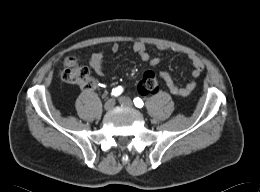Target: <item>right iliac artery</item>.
<instances>
[{"mask_svg":"<svg viewBox=\"0 0 260 192\" xmlns=\"http://www.w3.org/2000/svg\"><path fill=\"white\" fill-rule=\"evenodd\" d=\"M122 92H123V87H121V86L115 87V88H113V90H112V96L117 97V96H119Z\"/></svg>","mask_w":260,"mask_h":192,"instance_id":"obj_1","label":"right iliac artery"}]
</instances>
